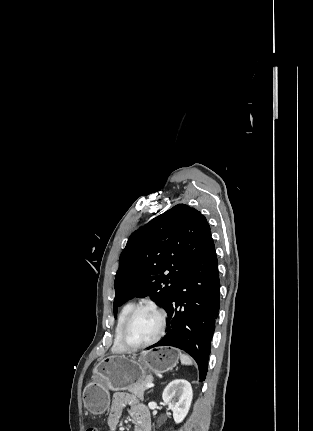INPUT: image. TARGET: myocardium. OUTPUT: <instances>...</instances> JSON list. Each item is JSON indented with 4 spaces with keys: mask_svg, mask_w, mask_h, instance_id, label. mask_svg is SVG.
Here are the masks:
<instances>
[{
    "mask_svg": "<svg viewBox=\"0 0 313 431\" xmlns=\"http://www.w3.org/2000/svg\"><path fill=\"white\" fill-rule=\"evenodd\" d=\"M142 309H151V310L155 311L159 317L160 326H159V330H158L157 334L150 341L143 343V344H140V345H133L127 341L126 333H127V330L129 328L133 318ZM166 324H167L166 313L160 306H158L157 304L152 303V302H144V303L137 304L129 312V314L127 315V317H126V319L122 325V328L120 331V343L126 350H131V351L147 348V347L155 344L157 341L160 340V338L163 336V334L165 332Z\"/></svg>",
    "mask_w": 313,
    "mask_h": 431,
    "instance_id": "obj_1",
    "label": "myocardium"
}]
</instances>
